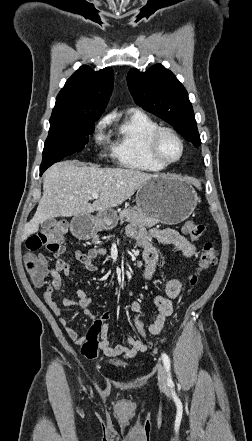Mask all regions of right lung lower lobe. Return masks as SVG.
Instances as JSON below:
<instances>
[{"label":"right lung lower lobe","instance_id":"right-lung-lower-lobe-1","mask_svg":"<svg viewBox=\"0 0 252 441\" xmlns=\"http://www.w3.org/2000/svg\"><path fill=\"white\" fill-rule=\"evenodd\" d=\"M46 169L40 167V174H42Z\"/></svg>","mask_w":252,"mask_h":441}]
</instances>
